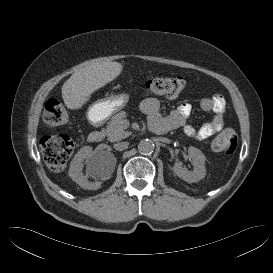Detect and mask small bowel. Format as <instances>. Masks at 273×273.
Returning <instances> with one entry per match:
<instances>
[{
  "instance_id": "small-bowel-1",
  "label": "small bowel",
  "mask_w": 273,
  "mask_h": 273,
  "mask_svg": "<svg viewBox=\"0 0 273 273\" xmlns=\"http://www.w3.org/2000/svg\"><path fill=\"white\" fill-rule=\"evenodd\" d=\"M200 106L204 111L214 112V116L199 128L188 123L191 112L189 104H182L170 112L166 117L160 115V104L155 98H146L141 103L142 111L147 115L149 121L156 118L164 119L170 129H182L188 136L203 140L220 132L224 126V110L226 107L225 98L220 94L205 97L201 100Z\"/></svg>"
}]
</instances>
